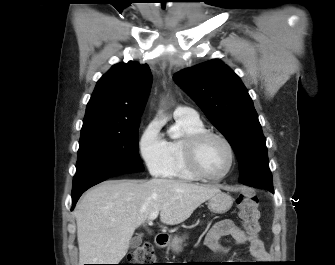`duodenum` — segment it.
I'll use <instances>...</instances> for the list:
<instances>
[{
    "label": "duodenum",
    "mask_w": 335,
    "mask_h": 265,
    "mask_svg": "<svg viewBox=\"0 0 335 265\" xmlns=\"http://www.w3.org/2000/svg\"><path fill=\"white\" fill-rule=\"evenodd\" d=\"M168 242V236L166 234H157L154 239V244L157 248H163Z\"/></svg>",
    "instance_id": "obj_1"
}]
</instances>
